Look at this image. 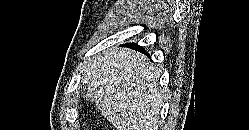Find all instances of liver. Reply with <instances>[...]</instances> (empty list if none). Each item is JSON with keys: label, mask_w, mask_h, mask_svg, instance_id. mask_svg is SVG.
I'll use <instances>...</instances> for the list:
<instances>
[{"label": "liver", "mask_w": 249, "mask_h": 130, "mask_svg": "<svg viewBox=\"0 0 249 130\" xmlns=\"http://www.w3.org/2000/svg\"><path fill=\"white\" fill-rule=\"evenodd\" d=\"M158 79L143 54L113 48L87 66L82 84L93 89L96 107L117 130H158L163 98Z\"/></svg>", "instance_id": "liver-1"}]
</instances>
